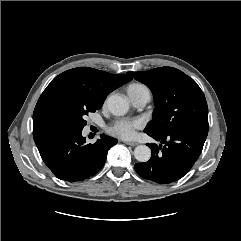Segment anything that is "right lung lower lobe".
<instances>
[{"label":"right lung lower lobe","instance_id":"right-lung-lower-lobe-1","mask_svg":"<svg viewBox=\"0 0 241 241\" xmlns=\"http://www.w3.org/2000/svg\"><path fill=\"white\" fill-rule=\"evenodd\" d=\"M44 163L57 178L76 182L95 175L104 165L108 150L117 140L101 135L94 144H86L82 129L55 128L33 132Z\"/></svg>","mask_w":241,"mask_h":241}]
</instances>
